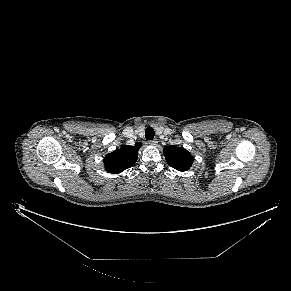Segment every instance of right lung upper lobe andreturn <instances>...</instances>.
Returning a JSON list of instances; mask_svg holds the SVG:
<instances>
[{
  "label": "right lung upper lobe",
  "mask_w": 291,
  "mask_h": 291,
  "mask_svg": "<svg viewBox=\"0 0 291 291\" xmlns=\"http://www.w3.org/2000/svg\"><path fill=\"white\" fill-rule=\"evenodd\" d=\"M140 147V144L135 146L123 145L120 149L109 153L103 160L105 170L109 173H120L132 167L137 161Z\"/></svg>",
  "instance_id": "right-lung-upper-lobe-1"
}]
</instances>
